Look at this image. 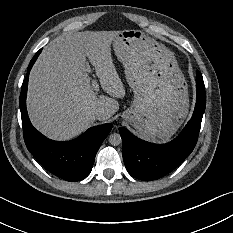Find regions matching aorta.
I'll use <instances>...</instances> for the list:
<instances>
[{"mask_svg": "<svg viewBox=\"0 0 233 233\" xmlns=\"http://www.w3.org/2000/svg\"><path fill=\"white\" fill-rule=\"evenodd\" d=\"M121 142H122V139H121L120 134L113 133L109 136V143L111 145L118 146L119 144H121Z\"/></svg>", "mask_w": 233, "mask_h": 233, "instance_id": "1", "label": "aorta"}]
</instances>
